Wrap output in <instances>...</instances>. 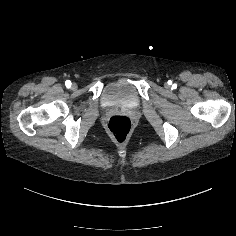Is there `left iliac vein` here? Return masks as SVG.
Listing matches in <instances>:
<instances>
[{"label":"left iliac vein","instance_id":"left-iliac-vein-1","mask_svg":"<svg viewBox=\"0 0 236 236\" xmlns=\"http://www.w3.org/2000/svg\"><path fill=\"white\" fill-rule=\"evenodd\" d=\"M169 85L168 84H165V87H168Z\"/></svg>","mask_w":236,"mask_h":236}]
</instances>
